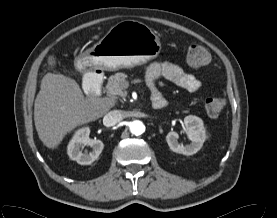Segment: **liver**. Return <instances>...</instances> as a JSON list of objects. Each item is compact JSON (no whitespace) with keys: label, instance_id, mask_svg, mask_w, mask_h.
Segmentation results:
<instances>
[{"label":"liver","instance_id":"6515ba94","mask_svg":"<svg viewBox=\"0 0 277 218\" xmlns=\"http://www.w3.org/2000/svg\"><path fill=\"white\" fill-rule=\"evenodd\" d=\"M116 103L114 98L85 99L78 83L61 74L47 73L34 104V122L39 139L56 148L77 126L95 121Z\"/></svg>","mask_w":277,"mask_h":218}]
</instances>
